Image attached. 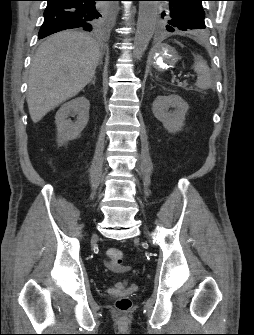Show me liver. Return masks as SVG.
Returning <instances> with one entry per match:
<instances>
[{
  "mask_svg": "<svg viewBox=\"0 0 254 335\" xmlns=\"http://www.w3.org/2000/svg\"><path fill=\"white\" fill-rule=\"evenodd\" d=\"M101 49L94 38L73 30L56 33L39 46L32 59L27 94L34 123L91 82Z\"/></svg>",
  "mask_w": 254,
  "mask_h": 335,
  "instance_id": "1",
  "label": "liver"
}]
</instances>
